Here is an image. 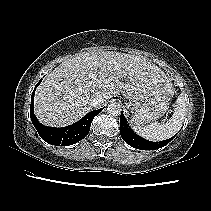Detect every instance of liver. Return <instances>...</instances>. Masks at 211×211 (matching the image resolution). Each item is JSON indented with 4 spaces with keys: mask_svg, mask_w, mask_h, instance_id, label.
Returning <instances> with one entry per match:
<instances>
[{
    "mask_svg": "<svg viewBox=\"0 0 211 211\" xmlns=\"http://www.w3.org/2000/svg\"><path fill=\"white\" fill-rule=\"evenodd\" d=\"M170 79L147 59L114 51L81 54L60 64L37 88L34 109L40 123L64 127L82 118L92 107L90 100L101 95V105L122 93L145 97Z\"/></svg>",
    "mask_w": 211,
    "mask_h": 211,
    "instance_id": "obj_1",
    "label": "liver"
}]
</instances>
